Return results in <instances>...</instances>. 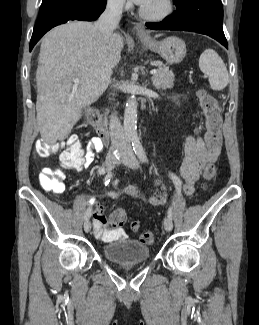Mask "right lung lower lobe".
Instances as JSON below:
<instances>
[{
    "instance_id": "1",
    "label": "right lung lower lobe",
    "mask_w": 259,
    "mask_h": 325,
    "mask_svg": "<svg viewBox=\"0 0 259 325\" xmlns=\"http://www.w3.org/2000/svg\"><path fill=\"white\" fill-rule=\"evenodd\" d=\"M107 0H55L40 8L29 50L51 28L69 20H96L105 10Z\"/></svg>"
}]
</instances>
